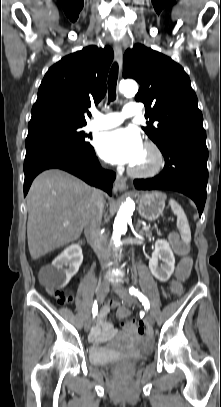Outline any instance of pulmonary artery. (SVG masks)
I'll return each mask as SVG.
<instances>
[{
    "instance_id": "pulmonary-artery-1",
    "label": "pulmonary artery",
    "mask_w": 221,
    "mask_h": 407,
    "mask_svg": "<svg viewBox=\"0 0 221 407\" xmlns=\"http://www.w3.org/2000/svg\"><path fill=\"white\" fill-rule=\"evenodd\" d=\"M139 111L138 106L134 103L126 104L121 112L101 113L95 110L93 111V120L88 123L86 129L95 131L116 127L124 119L138 115Z\"/></svg>"
}]
</instances>
